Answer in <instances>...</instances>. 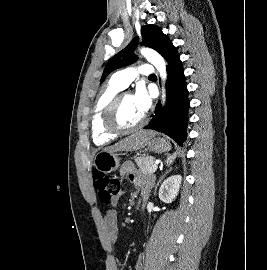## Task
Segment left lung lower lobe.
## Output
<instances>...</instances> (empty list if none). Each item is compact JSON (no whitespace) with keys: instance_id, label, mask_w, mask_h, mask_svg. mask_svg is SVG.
Returning a JSON list of instances; mask_svg holds the SVG:
<instances>
[{"instance_id":"1","label":"left lung lower lobe","mask_w":267,"mask_h":270,"mask_svg":"<svg viewBox=\"0 0 267 270\" xmlns=\"http://www.w3.org/2000/svg\"><path fill=\"white\" fill-rule=\"evenodd\" d=\"M167 61V101L163 108L157 104L155 115L144 129L165 133L178 146H183L187 138L188 111L190 102L185 82L184 69L175 46L164 57Z\"/></svg>"}]
</instances>
